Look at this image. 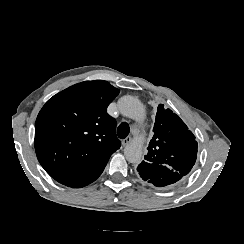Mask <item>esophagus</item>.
I'll return each mask as SVG.
<instances>
[{
    "label": "esophagus",
    "mask_w": 244,
    "mask_h": 244,
    "mask_svg": "<svg viewBox=\"0 0 244 244\" xmlns=\"http://www.w3.org/2000/svg\"><path fill=\"white\" fill-rule=\"evenodd\" d=\"M131 141H132L131 137H126L125 139L122 140V145L127 146Z\"/></svg>",
    "instance_id": "1"
}]
</instances>
